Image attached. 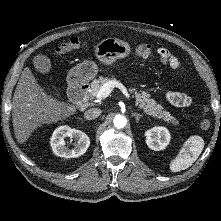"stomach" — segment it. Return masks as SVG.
Segmentation results:
<instances>
[{"label": "stomach", "instance_id": "stomach-1", "mask_svg": "<svg viewBox=\"0 0 221 221\" xmlns=\"http://www.w3.org/2000/svg\"><path fill=\"white\" fill-rule=\"evenodd\" d=\"M130 45L121 39L110 37L99 42L95 47V56L106 66L112 65L117 59H122L131 53ZM98 73L94 61H84L73 67L68 74L71 85H79L92 80Z\"/></svg>", "mask_w": 221, "mask_h": 221}]
</instances>
